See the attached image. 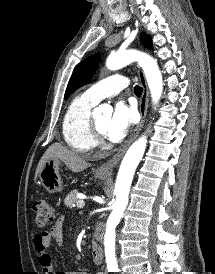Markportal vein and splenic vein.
<instances>
[{"mask_svg":"<svg viewBox=\"0 0 215 274\" xmlns=\"http://www.w3.org/2000/svg\"><path fill=\"white\" fill-rule=\"evenodd\" d=\"M84 205H85V203H84V201H83V200H78V201H77V207H78V208H80V209H81V208H83V207H84Z\"/></svg>","mask_w":215,"mask_h":274,"instance_id":"1","label":"portal vein and splenic vein"}]
</instances>
